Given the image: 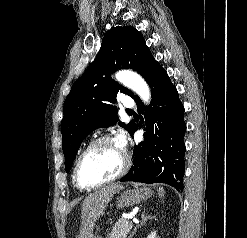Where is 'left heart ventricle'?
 I'll list each match as a JSON object with an SVG mask.
<instances>
[{
  "label": "left heart ventricle",
  "instance_id": "b2bd125f",
  "mask_svg": "<svg viewBox=\"0 0 247 238\" xmlns=\"http://www.w3.org/2000/svg\"><path fill=\"white\" fill-rule=\"evenodd\" d=\"M123 161V150L116 142L103 143L83 159L79 169L80 179L85 185L99 183L118 173Z\"/></svg>",
  "mask_w": 247,
  "mask_h": 238
}]
</instances>
